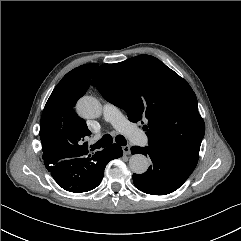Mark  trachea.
<instances>
[{
	"instance_id": "obj_1",
	"label": "trachea",
	"mask_w": 241,
	"mask_h": 241,
	"mask_svg": "<svg viewBox=\"0 0 241 241\" xmlns=\"http://www.w3.org/2000/svg\"><path fill=\"white\" fill-rule=\"evenodd\" d=\"M115 140H116V143L121 146H125L127 144L126 139L122 135H117ZM112 142H113L112 136L109 134H106L91 147H92V149H99L101 147H107V146L111 145Z\"/></svg>"
}]
</instances>
